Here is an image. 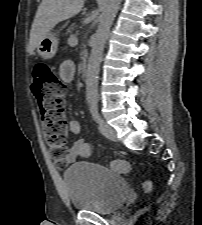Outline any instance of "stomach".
I'll return each mask as SVG.
<instances>
[{
  "label": "stomach",
  "instance_id": "1",
  "mask_svg": "<svg viewBox=\"0 0 202 225\" xmlns=\"http://www.w3.org/2000/svg\"><path fill=\"white\" fill-rule=\"evenodd\" d=\"M58 49V38L52 32H48L39 42L37 53L44 60L51 59L55 56Z\"/></svg>",
  "mask_w": 202,
  "mask_h": 225
}]
</instances>
